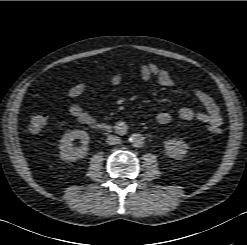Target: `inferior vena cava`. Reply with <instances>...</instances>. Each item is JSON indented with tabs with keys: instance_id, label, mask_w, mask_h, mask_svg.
<instances>
[{
	"instance_id": "602c4592",
	"label": "inferior vena cava",
	"mask_w": 247,
	"mask_h": 245,
	"mask_svg": "<svg viewBox=\"0 0 247 245\" xmlns=\"http://www.w3.org/2000/svg\"><path fill=\"white\" fill-rule=\"evenodd\" d=\"M106 142L109 145H116V144H119L121 142V139L116 135H109L106 139Z\"/></svg>"
}]
</instances>
